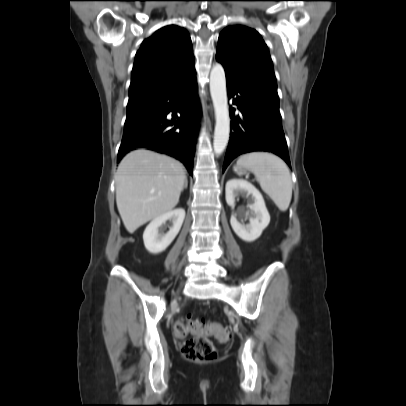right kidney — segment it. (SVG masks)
Returning <instances> with one entry per match:
<instances>
[{
    "label": "right kidney",
    "instance_id": "1",
    "mask_svg": "<svg viewBox=\"0 0 406 406\" xmlns=\"http://www.w3.org/2000/svg\"><path fill=\"white\" fill-rule=\"evenodd\" d=\"M184 218L185 210L178 208L153 219L143 233L146 249L153 254L163 252L179 233ZM167 221L172 222V227L166 234H160L159 228Z\"/></svg>",
    "mask_w": 406,
    "mask_h": 406
}]
</instances>
